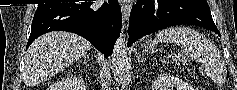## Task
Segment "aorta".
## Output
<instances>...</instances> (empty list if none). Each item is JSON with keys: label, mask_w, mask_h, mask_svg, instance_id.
<instances>
[{"label": "aorta", "mask_w": 237, "mask_h": 90, "mask_svg": "<svg viewBox=\"0 0 237 90\" xmlns=\"http://www.w3.org/2000/svg\"><path fill=\"white\" fill-rule=\"evenodd\" d=\"M126 38L124 32H121L117 38L112 52V72L117 84H125L128 72V56L126 50Z\"/></svg>", "instance_id": "1"}]
</instances>
